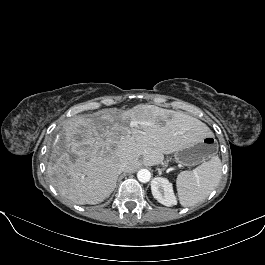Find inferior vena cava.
I'll return each mask as SVG.
<instances>
[{"label":"inferior vena cava","instance_id":"1","mask_svg":"<svg viewBox=\"0 0 265 265\" xmlns=\"http://www.w3.org/2000/svg\"><path fill=\"white\" fill-rule=\"evenodd\" d=\"M128 169V164L126 162H123L119 165V169H118V172L119 174L124 172V171H127Z\"/></svg>","mask_w":265,"mask_h":265}]
</instances>
